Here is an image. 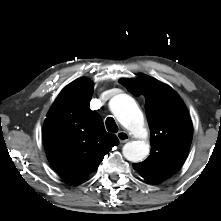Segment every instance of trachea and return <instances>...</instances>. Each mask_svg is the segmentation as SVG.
Instances as JSON below:
<instances>
[{"label": "trachea", "instance_id": "3493384b", "mask_svg": "<svg viewBox=\"0 0 221 221\" xmlns=\"http://www.w3.org/2000/svg\"><path fill=\"white\" fill-rule=\"evenodd\" d=\"M106 128L111 133H116L118 131V126L112 117L106 119Z\"/></svg>", "mask_w": 221, "mask_h": 221}]
</instances>
